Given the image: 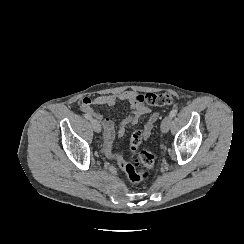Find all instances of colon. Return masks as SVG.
Returning <instances> with one entry per match:
<instances>
[{"label":"colon","mask_w":244,"mask_h":244,"mask_svg":"<svg viewBox=\"0 0 244 244\" xmlns=\"http://www.w3.org/2000/svg\"><path fill=\"white\" fill-rule=\"evenodd\" d=\"M135 100L148 107L168 106L174 103V97L165 92L139 94L135 97ZM142 142L143 135L141 131H134L130 136L129 143L130 151L134 154L131 162L124 160L120 153H113V160L124 172L127 180L133 184L146 180L150 176L155 163L153 151L144 149L138 152Z\"/></svg>","instance_id":"5ec220e1"}]
</instances>
